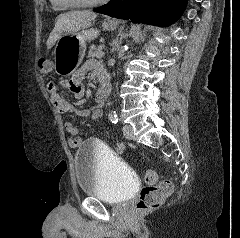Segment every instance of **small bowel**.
Segmentation results:
<instances>
[{"instance_id": "obj_1", "label": "small bowel", "mask_w": 240, "mask_h": 238, "mask_svg": "<svg viewBox=\"0 0 240 238\" xmlns=\"http://www.w3.org/2000/svg\"><path fill=\"white\" fill-rule=\"evenodd\" d=\"M91 69H101L100 64L97 61L91 60L88 61L79 71L77 77L72 78V79H64L61 80L60 85L64 89H69L76 98H82L85 93L84 86L81 82V77L88 72ZM48 92L51 97V101L53 105L56 107V109L61 112V113H74L77 116L80 117H87L91 116L92 119H97L102 116L103 111H102V106L104 102H96V104L88 109H78L76 108L72 103L64 99L56 84L53 82L48 83L47 86ZM65 130L69 134L68 138V144L72 148H77L81 145L82 140L78 137L79 129L74 126L71 122H66L65 125ZM128 143H121L116 146V153L117 154H125L126 150L123 148H128Z\"/></svg>"}]
</instances>
